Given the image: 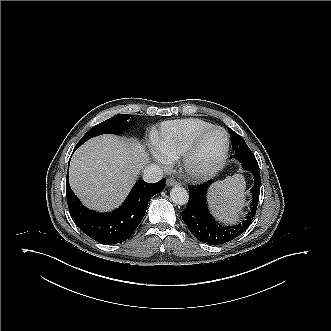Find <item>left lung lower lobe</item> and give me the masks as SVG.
I'll return each mask as SVG.
<instances>
[{"mask_svg": "<svg viewBox=\"0 0 331 331\" xmlns=\"http://www.w3.org/2000/svg\"><path fill=\"white\" fill-rule=\"evenodd\" d=\"M233 150L240 148L237 139L231 137ZM242 167L252 173L254 186L251 190L253 200L251 212L247 214L244 221L232 227H223L216 223L209 213L206 203V192L210 181L190 186L189 201L182 212V219L190 232L201 242L209 245H220L229 242L241 235L250 225L256 213L260 194V170L258 165H250L242 162Z\"/></svg>", "mask_w": 331, "mask_h": 331, "instance_id": "left-lung-lower-lobe-1", "label": "left lung lower lobe"}]
</instances>
